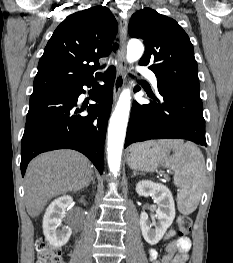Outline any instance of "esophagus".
<instances>
[{"label": "esophagus", "mask_w": 233, "mask_h": 263, "mask_svg": "<svg viewBox=\"0 0 233 263\" xmlns=\"http://www.w3.org/2000/svg\"><path fill=\"white\" fill-rule=\"evenodd\" d=\"M127 27H128V19L121 18L119 22L120 29V49L118 53V61L116 64V79L114 83L113 90V99L117 100L119 93L122 90V87L125 82V56H126V40H127Z\"/></svg>", "instance_id": "34e87169"}]
</instances>
